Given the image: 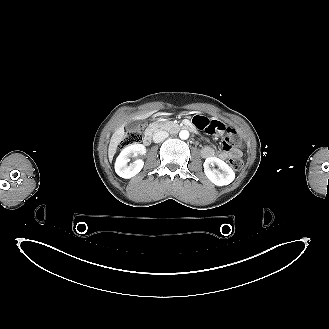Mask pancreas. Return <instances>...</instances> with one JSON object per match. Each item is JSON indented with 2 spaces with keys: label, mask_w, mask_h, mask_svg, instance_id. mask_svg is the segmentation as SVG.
Segmentation results:
<instances>
[{
  "label": "pancreas",
  "mask_w": 329,
  "mask_h": 329,
  "mask_svg": "<svg viewBox=\"0 0 329 329\" xmlns=\"http://www.w3.org/2000/svg\"><path fill=\"white\" fill-rule=\"evenodd\" d=\"M156 127L159 130H167V131L173 132L174 130L178 129L179 126H178V124H176L175 122H172V121H163V122L157 123Z\"/></svg>",
  "instance_id": "cf45deb5"
}]
</instances>
